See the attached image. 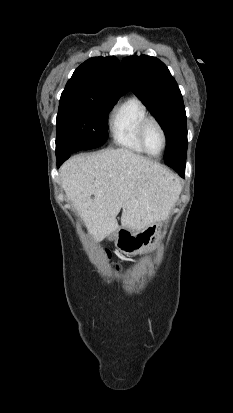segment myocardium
Masks as SVG:
<instances>
[{
  "label": "myocardium",
  "mask_w": 233,
  "mask_h": 413,
  "mask_svg": "<svg viewBox=\"0 0 233 413\" xmlns=\"http://www.w3.org/2000/svg\"><path fill=\"white\" fill-rule=\"evenodd\" d=\"M150 123H154L158 127V129L160 130L161 135H162V141H163L162 148H161L160 152L157 153V154L151 153L148 150V148L146 146V142H145V130H146L147 126ZM138 139H139L140 145L142 146L145 153L148 154L149 156H152V157L160 156L164 152V150L166 148V145H167V136H166V132H165V129H164L163 125L161 124V122L157 118H155L153 116H150V115L146 116L140 122L139 127H138Z\"/></svg>",
  "instance_id": "1"
}]
</instances>
